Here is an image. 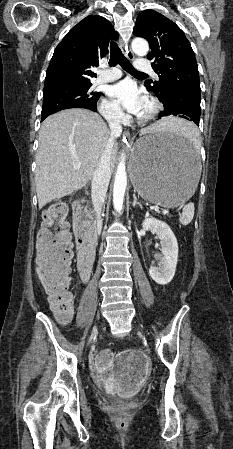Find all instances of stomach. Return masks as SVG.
Here are the masks:
<instances>
[{"instance_id": "obj_1", "label": "stomach", "mask_w": 233, "mask_h": 449, "mask_svg": "<svg viewBox=\"0 0 233 449\" xmlns=\"http://www.w3.org/2000/svg\"><path fill=\"white\" fill-rule=\"evenodd\" d=\"M200 159L190 142L179 133H158L157 128L133 146L129 174L135 191L164 208L185 203L194 193Z\"/></svg>"}]
</instances>
